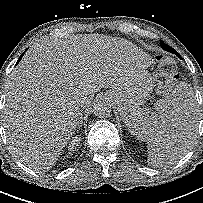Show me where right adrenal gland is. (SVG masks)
<instances>
[{
    "label": "right adrenal gland",
    "instance_id": "obj_1",
    "mask_svg": "<svg viewBox=\"0 0 203 203\" xmlns=\"http://www.w3.org/2000/svg\"><path fill=\"white\" fill-rule=\"evenodd\" d=\"M81 119H82V115H81ZM81 126H82V120H81L80 124L78 125V128L80 129Z\"/></svg>",
    "mask_w": 203,
    "mask_h": 203
}]
</instances>
